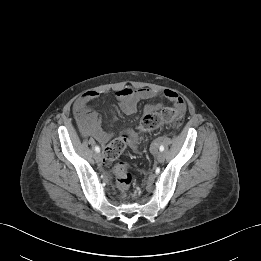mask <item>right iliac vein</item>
I'll list each match as a JSON object with an SVG mask.
<instances>
[{
    "label": "right iliac vein",
    "instance_id": "1",
    "mask_svg": "<svg viewBox=\"0 0 261 261\" xmlns=\"http://www.w3.org/2000/svg\"><path fill=\"white\" fill-rule=\"evenodd\" d=\"M94 158H95V160L99 161L101 159V154L99 152H96L94 154Z\"/></svg>",
    "mask_w": 261,
    "mask_h": 261
}]
</instances>
